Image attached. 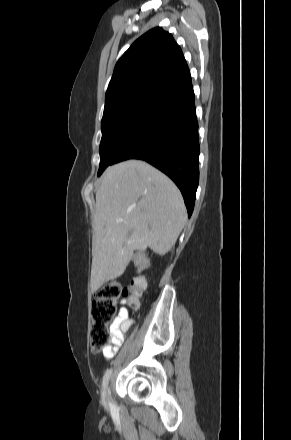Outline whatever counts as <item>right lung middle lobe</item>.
Listing matches in <instances>:
<instances>
[{"label": "right lung middle lobe", "instance_id": "dd1d6c3e", "mask_svg": "<svg viewBox=\"0 0 291 440\" xmlns=\"http://www.w3.org/2000/svg\"><path fill=\"white\" fill-rule=\"evenodd\" d=\"M154 99L152 96H138L105 105L98 176L110 165L113 156L137 127Z\"/></svg>", "mask_w": 291, "mask_h": 440}]
</instances>
